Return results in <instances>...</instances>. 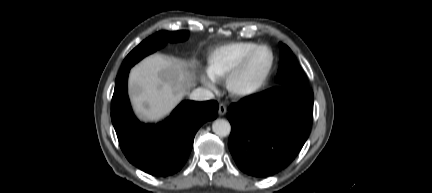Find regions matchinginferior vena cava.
Returning a JSON list of instances; mask_svg holds the SVG:
<instances>
[{
	"label": "inferior vena cava",
	"mask_w": 432,
	"mask_h": 193,
	"mask_svg": "<svg viewBox=\"0 0 432 193\" xmlns=\"http://www.w3.org/2000/svg\"><path fill=\"white\" fill-rule=\"evenodd\" d=\"M214 98V94L206 88H196L190 94V99L194 101H206Z\"/></svg>",
	"instance_id": "1"
}]
</instances>
